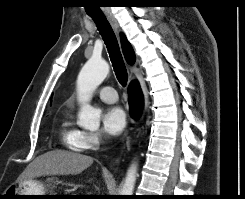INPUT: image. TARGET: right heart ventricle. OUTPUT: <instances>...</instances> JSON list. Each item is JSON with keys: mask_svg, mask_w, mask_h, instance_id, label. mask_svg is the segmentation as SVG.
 Returning <instances> with one entry per match:
<instances>
[{"mask_svg": "<svg viewBox=\"0 0 245 199\" xmlns=\"http://www.w3.org/2000/svg\"><path fill=\"white\" fill-rule=\"evenodd\" d=\"M59 130L64 144L74 152H84L86 148L83 145V131H81L73 122V116L70 111L64 113L60 119Z\"/></svg>", "mask_w": 245, "mask_h": 199, "instance_id": "e07e8e85", "label": "right heart ventricle"}]
</instances>
